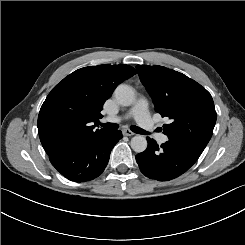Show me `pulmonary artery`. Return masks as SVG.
<instances>
[{
	"mask_svg": "<svg viewBox=\"0 0 245 245\" xmlns=\"http://www.w3.org/2000/svg\"><path fill=\"white\" fill-rule=\"evenodd\" d=\"M130 114L135 117L138 127L145 133H152L157 128V123L149 116V107L144 102L137 103L131 110ZM117 117H107L105 121L115 122L118 121ZM159 141L162 144H167L170 141V136L167 133H162L159 136Z\"/></svg>",
	"mask_w": 245,
	"mask_h": 245,
	"instance_id": "1",
	"label": "pulmonary artery"
}]
</instances>
